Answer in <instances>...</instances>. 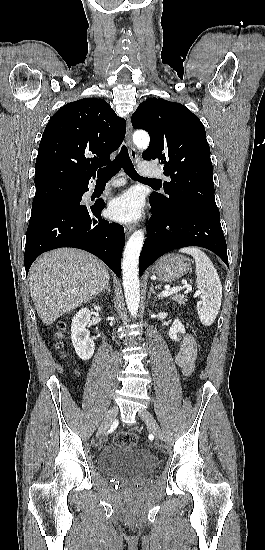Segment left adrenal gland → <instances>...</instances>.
Listing matches in <instances>:
<instances>
[{
	"mask_svg": "<svg viewBox=\"0 0 265 550\" xmlns=\"http://www.w3.org/2000/svg\"><path fill=\"white\" fill-rule=\"evenodd\" d=\"M152 294H155V289H154V285L151 283V287L148 292V299L151 297ZM157 297L160 298V295L158 294Z\"/></svg>",
	"mask_w": 265,
	"mask_h": 550,
	"instance_id": "1",
	"label": "left adrenal gland"
}]
</instances>
